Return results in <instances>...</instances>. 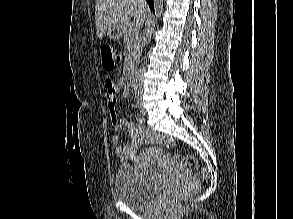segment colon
<instances>
[{
  "label": "colon",
  "instance_id": "colon-1",
  "mask_svg": "<svg viewBox=\"0 0 293 219\" xmlns=\"http://www.w3.org/2000/svg\"><path fill=\"white\" fill-rule=\"evenodd\" d=\"M120 61L119 52L111 45H105L102 48V63L106 70H112L115 65ZM149 142L152 145L163 146L166 148H174L175 142L172 138L152 132L149 134ZM181 166L189 172L196 171L198 168V163L195 157L191 155H182L179 157ZM199 178L202 181H206L208 178V173L206 170L202 169L199 174ZM178 207V198L173 199L169 202V209L171 211L176 210Z\"/></svg>",
  "mask_w": 293,
  "mask_h": 219
}]
</instances>
